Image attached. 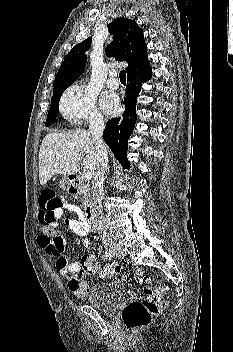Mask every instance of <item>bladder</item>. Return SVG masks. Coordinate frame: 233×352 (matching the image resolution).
Instances as JSON below:
<instances>
[{"instance_id":"31cf9c89","label":"bladder","mask_w":233,"mask_h":352,"mask_svg":"<svg viewBox=\"0 0 233 352\" xmlns=\"http://www.w3.org/2000/svg\"><path fill=\"white\" fill-rule=\"evenodd\" d=\"M126 292L124 287L116 282L99 283L89 294V304L105 314H114L124 302Z\"/></svg>"}]
</instances>
